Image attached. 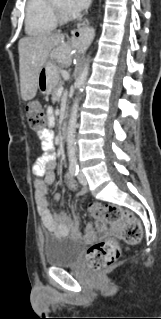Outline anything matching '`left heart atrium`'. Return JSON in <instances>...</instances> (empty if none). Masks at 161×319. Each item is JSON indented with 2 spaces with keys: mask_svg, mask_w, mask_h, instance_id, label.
<instances>
[{
  "mask_svg": "<svg viewBox=\"0 0 161 319\" xmlns=\"http://www.w3.org/2000/svg\"><path fill=\"white\" fill-rule=\"evenodd\" d=\"M89 2L90 0H67L65 7L69 14L76 15L84 10Z\"/></svg>",
  "mask_w": 161,
  "mask_h": 319,
  "instance_id": "39dd6f15",
  "label": "left heart atrium"
}]
</instances>
